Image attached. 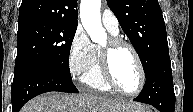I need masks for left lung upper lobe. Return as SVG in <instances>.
Here are the masks:
<instances>
[{
  "mask_svg": "<svg viewBox=\"0 0 193 112\" xmlns=\"http://www.w3.org/2000/svg\"><path fill=\"white\" fill-rule=\"evenodd\" d=\"M123 31L139 55L145 76L168 50L167 33L157 0H107Z\"/></svg>",
  "mask_w": 193,
  "mask_h": 112,
  "instance_id": "left-lung-upper-lobe-1",
  "label": "left lung upper lobe"
}]
</instances>
